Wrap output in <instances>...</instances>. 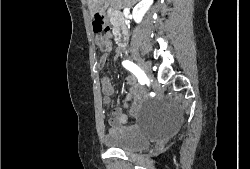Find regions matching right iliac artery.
I'll list each match as a JSON object with an SVG mask.
<instances>
[{
    "mask_svg": "<svg viewBox=\"0 0 250 169\" xmlns=\"http://www.w3.org/2000/svg\"><path fill=\"white\" fill-rule=\"evenodd\" d=\"M122 65L126 69H128L129 71H131L137 77V79H138V81L140 82L141 85H144L148 81V78H147L146 74L144 73V71H142L133 62H131L129 60H125V61L122 62Z\"/></svg>",
    "mask_w": 250,
    "mask_h": 169,
    "instance_id": "82829eb1",
    "label": "right iliac artery"
}]
</instances>
